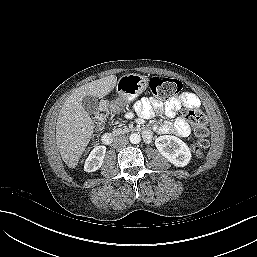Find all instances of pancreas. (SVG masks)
Returning <instances> with one entry per match:
<instances>
[{
  "instance_id": "1",
  "label": "pancreas",
  "mask_w": 257,
  "mask_h": 257,
  "mask_svg": "<svg viewBox=\"0 0 257 257\" xmlns=\"http://www.w3.org/2000/svg\"><path fill=\"white\" fill-rule=\"evenodd\" d=\"M129 131H130L129 128L123 127V128L114 129L112 133L117 136V135L128 133Z\"/></svg>"
}]
</instances>
